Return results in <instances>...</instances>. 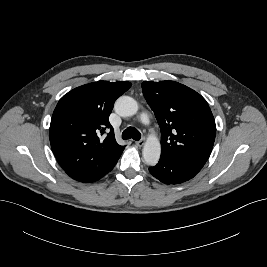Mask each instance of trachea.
Instances as JSON below:
<instances>
[{"instance_id": "trachea-1", "label": "trachea", "mask_w": 267, "mask_h": 267, "mask_svg": "<svg viewBox=\"0 0 267 267\" xmlns=\"http://www.w3.org/2000/svg\"><path fill=\"white\" fill-rule=\"evenodd\" d=\"M133 139L136 141H139L141 139V133L134 127H128L126 130L122 133V139Z\"/></svg>"}]
</instances>
